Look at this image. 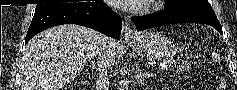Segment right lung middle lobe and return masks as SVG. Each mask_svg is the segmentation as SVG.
<instances>
[{
  "label": "right lung middle lobe",
  "instance_id": "dd1d6c3e",
  "mask_svg": "<svg viewBox=\"0 0 237 90\" xmlns=\"http://www.w3.org/2000/svg\"><path fill=\"white\" fill-rule=\"evenodd\" d=\"M52 5H55V4H44V3L43 4H37L35 10L41 9V8H44V7H48V6H52Z\"/></svg>",
  "mask_w": 237,
  "mask_h": 90
}]
</instances>
